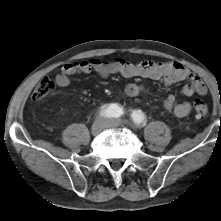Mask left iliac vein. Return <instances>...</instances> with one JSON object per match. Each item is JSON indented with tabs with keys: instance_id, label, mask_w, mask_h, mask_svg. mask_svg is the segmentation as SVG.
I'll return each mask as SVG.
<instances>
[{
	"instance_id": "left-iliac-vein-1",
	"label": "left iliac vein",
	"mask_w": 221,
	"mask_h": 221,
	"mask_svg": "<svg viewBox=\"0 0 221 221\" xmlns=\"http://www.w3.org/2000/svg\"><path fill=\"white\" fill-rule=\"evenodd\" d=\"M121 125L120 119H111L108 120L107 127H118Z\"/></svg>"
}]
</instances>
